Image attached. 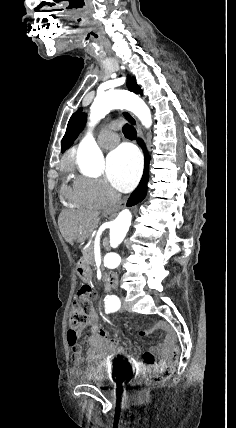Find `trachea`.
<instances>
[{
    "label": "trachea",
    "instance_id": "trachea-1",
    "mask_svg": "<svg viewBox=\"0 0 236 428\" xmlns=\"http://www.w3.org/2000/svg\"><path fill=\"white\" fill-rule=\"evenodd\" d=\"M90 38H91L92 41L95 42V41L98 40L99 37H98L97 34L94 33V34L91 35ZM123 133H124L125 137H127V138H130V139L136 138V130L131 125L125 124L123 126Z\"/></svg>",
    "mask_w": 236,
    "mask_h": 428
}]
</instances>
